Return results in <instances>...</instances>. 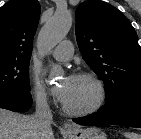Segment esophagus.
<instances>
[{"label":"esophagus","mask_w":141,"mask_h":139,"mask_svg":"<svg viewBox=\"0 0 141 139\" xmlns=\"http://www.w3.org/2000/svg\"><path fill=\"white\" fill-rule=\"evenodd\" d=\"M63 129L64 130H72L73 126L70 123H64L63 124Z\"/></svg>","instance_id":"obj_1"}]
</instances>
